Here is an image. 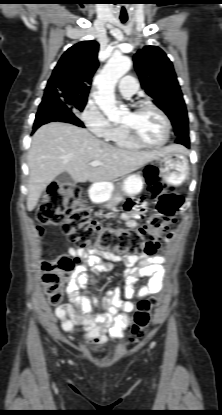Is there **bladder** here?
I'll list each match as a JSON object with an SVG mask.
<instances>
[{
    "label": "bladder",
    "instance_id": "obj_1",
    "mask_svg": "<svg viewBox=\"0 0 222 415\" xmlns=\"http://www.w3.org/2000/svg\"><path fill=\"white\" fill-rule=\"evenodd\" d=\"M110 350H111L110 347H105V348L101 349L100 351L109 352Z\"/></svg>",
    "mask_w": 222,
    "mask_h": 415
}]
</instances>
